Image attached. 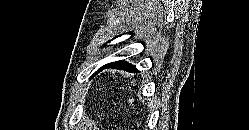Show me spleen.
Segmentation results:
<instances>
[{"label": "spleen", "mask_w": 249, "mask_h": 130, "mask_svg": "<svg viewBox=\"0 0 249 130\" xmlns=\"http://www.w3.org/2000/svg\"><path fill=\"white\" fill-rule=\"evenodd\" d=\"M129 101L132 103V101H133V100H132V99H130Z\"/></svg>", "instance_id": "1"}]
</instances>
